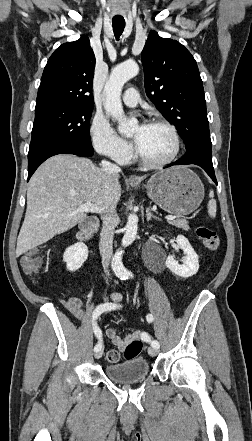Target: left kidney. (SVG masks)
Returning <instances> with one entry per match:
<instances>
[{"mask_svg":"<svg viewBox=\"0 0 252 441\" xmlns=\"http://www.w3.org/2000/svg\"><path fill=\"white\" fill-rule=\"evenodd\" d=\"M177 244L184 251L185 256L182 259L183 264L180 265L172 256L166 259L167 268L174 274L188 278L197 273L199 269L198 255L190 245L187 238L183 235L177 236Z\"/></svg>","mask_w":252,"mask_h":441,"instance_id":"5707ae66","label":"left kidney"}]
</instances>
